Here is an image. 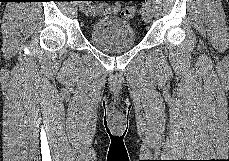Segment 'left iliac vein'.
I'll use <instances>...</instances> for the list:
<instances>
[{"label":"left iliac vein","mask_w":229,"mask_h":161,"mask_svg":"<svg viewBox=\"0 0 229 161\" xmlns=\"http://www.w3.org/2000/svg\"><path fill=\"white\" fill-rule=\"evenodd\" d=\"M141 14L146 23H150L152 20V7L149 3L145 2L141 8Z\"/></svg>","instance_id":"1"}]
</instances>
